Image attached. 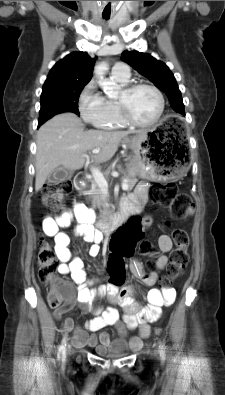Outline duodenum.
<instances>
[{
  "instance_id": "duodenum-1",
  "label": "duodenum",
  "mask_w": 225,
  "mask_h": 395,
  "mask_svg": "<svg viewBox=\"0 0 225 395\" xmlns=\"http://www.w3.org/2000/svg\"><path fill=\"white\" fill-rule=\"evenodd\" d=\"M75 187L80 192H85L88 190L89 182L84 173H79L75 177ZM129 215L125 213L123 210L120 212L114 213L110 215L108 218L104 219L100 222L99 227L102 232L109 234L114 231L116 228L122 226V223L125 222L126 216Z\"/></svg>"
}]
</instances>
